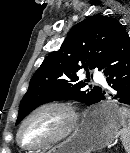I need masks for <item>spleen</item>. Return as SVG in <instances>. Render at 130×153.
I'll list each match as a JSON object with an SVG mask.
<instances>
[{
	"label": "spleen",
	"mask_w": 130,
	"mask_h": 153,
	"mask_svg": "<svg viewBox=\"0 0 130 153\" xmlns=\"http://www.w3.org/2000/svg\"><path fill=\"white\" fill-rule=\"evenodd\" d=\"M121 117V141L127 153H130V110L125 107L118 109Z\"/></svg>",
	"instance_id": "3e777b00"
}]
</instances>
